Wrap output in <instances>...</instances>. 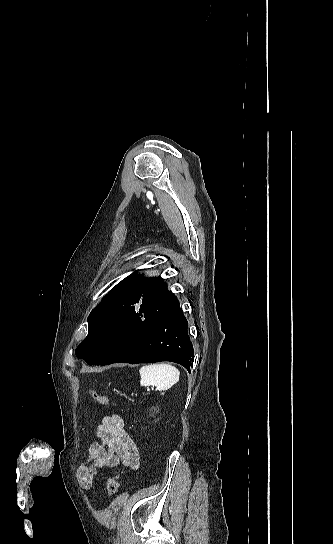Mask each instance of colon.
Segmentation results:
<instances>
[{
	"label": "colon",
	"mask_w": 333,
	"mask_h": 544,
	"mask_svg": "<svg viewBox=\"0 0 333 544\" xmlns=\"http://www.w3.org/2000/svg\"><path fill=\"white\" fill-rule=\"evenodd\" d=\"M88 394L102 405H109V399L96 390H89ZM120 483L119 476L113 475L107 479V491L110 496L115 495L118 492Z\"/></svg>",
	"instance_id": "5ec220e1"
}]
</instances>
